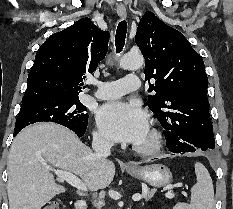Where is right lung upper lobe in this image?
<instances>
[{"label": "right lung upper lobe", "instance_id": "cb5924a9", "mask_svg": "<svg viewBox=\"0 0 233 209\" xmlns=\"http://www.w3.org/2000/svg\"><path fill=\"white\" fill-rule=\"evenodd\" d=\"M108 42L109 32L89 18L51 35L36 53L22 103L79 98L85 75L105 57Z\"/></svg>", "mask_w": 233, "mask_h": 209}]
</instances>
